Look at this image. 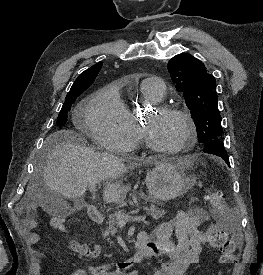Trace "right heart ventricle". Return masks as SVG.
I'll use <instances>...</instances> for the list:
<instances>
[{
    "label": "right heart ventricle",
    "instance_id": "obj_1",
    "mask_svg": "<svg viewBox=\"0 0 263 275\" xmlns=\"http://www.w3.org/2000/svg\"><path fill=\"white\" fill-rule=\"evenodd\" d=\"M142 93H143V96L150 102H155V98L153 97V95L151 94V92L145 88L142 87ZM124 110H125V116L133 130V136H134V139H133V146H135L136 144H138L141 140V137H140V130H139V123H138V118L135 114V112L131 111L129 108H127L125 105H124Z\"/></svg>",
    "mask_w": 263,
    "mask_h": 275
}]
</instances>
